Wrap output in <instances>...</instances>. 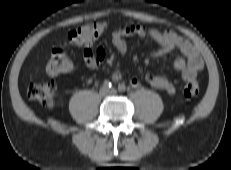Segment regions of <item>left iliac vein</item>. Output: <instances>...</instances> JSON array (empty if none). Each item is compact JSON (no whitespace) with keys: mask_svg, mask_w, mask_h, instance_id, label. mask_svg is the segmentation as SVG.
Wrapping results in <instances>:
<instances>
[{"mask_svg":"<svg viewBox=\"0 0 231 170\" xmlns=\"http://www.w3.org/2000/svg\"><path fill=\"white\" fill-rule=\"evenodd\" d=\"M110 94H111V95L116 94V90H111V91H110Z\"/></svg>","mask_w":231,"mask_h":170,"instance_id":"1","label":"left iliac vein"}]
</instances>
